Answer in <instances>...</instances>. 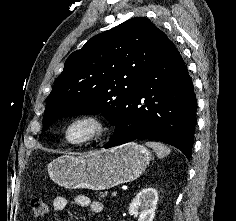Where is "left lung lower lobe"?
<instances>
[{
  "label": "left lung lower lobe",
  "mask_w": 236,
  "mask_h": 221,
  "mask_svg": "<svg viewBox=\"0 0 236 221\" xmlns=\"http://www.w3.org/2000/svg\"><path fill=\"white\" fill-rule=\"evenodd\" d=\"M197 100L182 56L166 38L139 77L105 148L135 139H153L181 150L189 159Z\"/></svg>",
  "instance_id": "obj_1"
}]
</instances>
